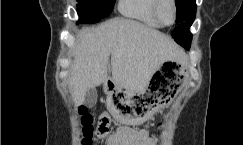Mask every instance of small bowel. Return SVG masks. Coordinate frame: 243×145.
<instances>
[{"label": "small bowel", "instance_id": "small-bowel-1", "mask_svg": "<svg viewBox=\"0 0 243 145\" xmlns=\"http://www.w3.org/2000/svg\"><path fill=\"white\" fill-rule=\"evenodd\" d=\"M105 145H155V142L150 138L147 127L134 130L122 126L107 137Z\"/></svg>", "mask_w": 243, "mask_h": 145}]
</instances>
